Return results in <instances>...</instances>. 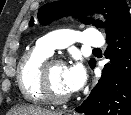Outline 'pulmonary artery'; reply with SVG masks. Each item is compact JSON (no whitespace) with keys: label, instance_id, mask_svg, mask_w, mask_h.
<instances>
[{"label":"pulmonary artery","instance_id":"1","mask_svg":"<svg viewBox=\"0 0 131 115\" xmlns=\"http://www.w3.org/2000/svg\"><path fill=\"white\" fill-rule=\"evenodd\" d=\"M75 40L81 42L84 46L90 47H102L105 44L101 32L89 28L82 32L71 30L54 31L40 38L37 45L51 55L55 49L63 48Z\"/></svg>","mask_w":131,"mask_h":115}]
</instances>
